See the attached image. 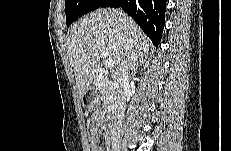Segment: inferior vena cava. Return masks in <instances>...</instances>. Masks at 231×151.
<instances>
[{
  "mask_svg": "<svg viewBox=\"0 0 231 151\" xmlns=\"http://www.w3.org/2000/svg\"><path fill=\"white\" fill-rule=\"evenodd\" d=\"M128 77V64L127 62H123L115 82V101L111 120V140L113 146L119 144L122 119L125 112L126 91L129 88Z\"/></svg>",
  "mask_w": 231,
  "mask_h": 151,
  "instance_id": "602c4592",
  "label": "inferior vena cava"
}]
</instances>
